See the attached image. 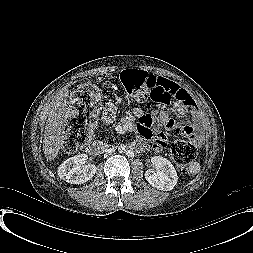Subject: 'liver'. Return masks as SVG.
I'll return each instance as SVG.
<instances>
[{"label":"liver","instance_id":"obj_1","mask_svg":"<svg viewBox=\"0 0 253 253\" xmlns=\"http://www.w3.org/2000/svg\"><path fill=\"white\" fill-rule=\"evenodd\" d=\"M68 90L57 93L50 106V113L45 125L43 151L47 160H54L62 148V135L65 132L67 116Z\"/></svg>","mask_w":253,"mask_h":253}]
</instances>
